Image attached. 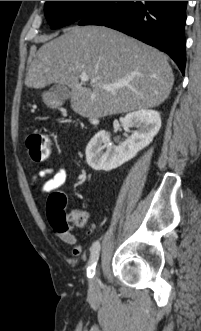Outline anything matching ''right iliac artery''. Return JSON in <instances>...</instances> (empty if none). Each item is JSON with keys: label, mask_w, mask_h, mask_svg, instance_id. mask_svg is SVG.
I'll return each instance as SVG.
<instances>
[{"label": "right iliac artery", "mask_w": 201, "mask_h": 331, "mask_svg": "<svg viewBox=\"0 0 201 331\" xmlns=\"http://www.w3.org/2000/svg\"><path fill=\"white\" fill-rule=\"evenodd\" d=\"M90 251H91V255H90L89 266L87 269V275H88V278L91 279L94 276L95 266L97 264L98 257H99V252H100L99 241H96L92 244Z\"/></svg>", "instance_id": "obj_1"}]
</instances>
